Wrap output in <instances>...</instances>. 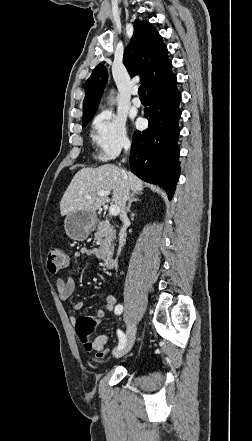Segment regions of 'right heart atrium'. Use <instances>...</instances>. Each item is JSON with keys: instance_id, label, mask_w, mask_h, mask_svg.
Segmentation results:
<instances>
[{"instance_id": "obj_1", "label": "right heart atrium", "mask_w": 252, "mask_h": 441, "mask_svg": "<svg viewBox=\"0 0 252 441\" xmlns=\"http://www.w3.org/2000/svg\"><path fill=\"white\" fill-rule=\"evenodd\" d=\"M92 141L101 161L112 160L127 151L130 140L125 118L109 110L100 112L93 120Z\"/></svg>"}]
</instances>
